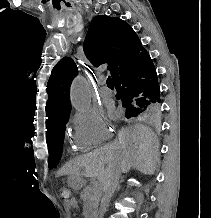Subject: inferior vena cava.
<instances>
[{
	"instance_id": "obj_1",
	"label": "inferior vena cava",
	"mask_w": 211,
	"mask_h": 218,
	"mask_svg": "<svg viewBox=\"0 0 211 218\" xmlns=\"http://www.w3.org/2000/svg\"><path fill=\"white\" fill-rule=\"evenodd\" d=\"M120 170H114V172H111V174H108L106 176L104 182H102V190L104 192L103 198H102V206L104 208V212H106L105 208H107L117 186H118V180L120 178Z\"/></svg>"
}]
</instances>
